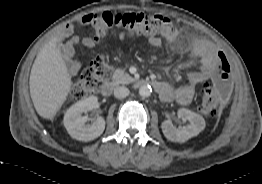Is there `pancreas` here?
<instances>
[{
	"instance_id": "obj_1",
	"label": "pancreas",
	"mask_w": 262,
	"mask_h": 184,
	"mask_svg": "<svg viewBox=\"0 0 262 184\" xmlns=\"http://www.w3.org/2000/svg\"><path fill=\"white\" fill-rule=\"evenodd\" d=\"M113 81L114 84H129L133 81H135L134 78H132L128 73L125 72L123 69H116L113 74Z\"/></svg>"
}]
</instances>
